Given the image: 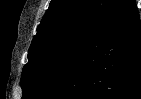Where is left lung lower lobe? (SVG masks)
<instances>
[{
	"label": "left lung lower lobe",
	"instance_id": "1",
	"mask_svg": "<svg viewBox=\"0 0 141 99\" xmlns=\"http://www.w3.org/2000/svg\"><path fill=\"white\" fill-rule=\"evenodd\" d=\"M38 99H141V22L122 0Z\"/></svg>",
	"mask_w": 141,
	"mask_h": 99
}]
</instances>
